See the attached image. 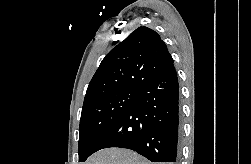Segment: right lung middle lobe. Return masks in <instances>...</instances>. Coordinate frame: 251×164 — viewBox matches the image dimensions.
<instances>
[{
    "instance_id": "right-lung-middle-lobe-1",
    "label": "right lung middle lobe",
    "mask_w": 251,
    "mask_h": 164,
    "mask_svg": "<svg viewBox=\"0 0 251 164\" xmlns=\"http://www.w3.org/2000/svg\"><path fill=\"white\" fill-rule=\"evenodd\" d=\"M139 89L123 88L84 103L79 127V162H84L102 136L137 100Z\"/></svg>"
}]
</instances>
